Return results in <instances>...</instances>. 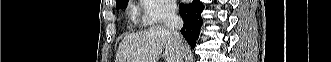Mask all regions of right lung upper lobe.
<instances>
[{
	"mask_svg": "<svg viewBox=\"0 0 331 62\" xmlns=\"http://www.w3.org/2000/svg\"><path fill=\"white\" fill-rule=\"evenodd\" d=\"M122 0H116V3L121 2Z\"/></svg>",
	"mask_w": 331,
	"mask_h": 62,
	"instance_id": "1",
	"label": "right lung upper lobe"
}]
</instances>
